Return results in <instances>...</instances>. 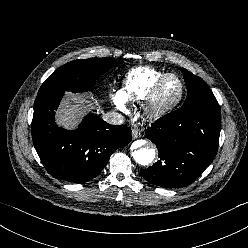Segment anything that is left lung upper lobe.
Listing matches in <instances>:
<instances>
[{
    "label": "left lung upper lobe",
    "instance_id": "1",
    "mask_svg": "<svg viewBox=\"0 0 248 248\" xmlns=\"http://www.w3.org/2000/svg\"><path fill=\"white\" fill-rule=\"evenodd\" d=\"M183 77L188 88L187 98L183 106H190L206 99H213V95L207 84L198 76L186 69H182Z\"/></svg>",
    "mask_w": 248,
    "mask_h": 248
}]
</instances>
